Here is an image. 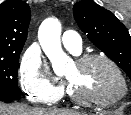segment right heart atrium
<instances>
[{"label": "right heart atrium", "mask_w": 131, "mask_h": 115, "mask_svg": "<svg viewBox=\"0 0 131 115\" xmlns=\"http://www.w3.org/2000/svg\"><path fill=\"white\" fill-rule=\"evenodd\" d=\"M19 85L27 98L46 104L56 100L61 92L45 77L40 56L31 52L26 53L22 58Z\"/></svg>", "instance_id": "d8ad5b80"}]
</instances>
